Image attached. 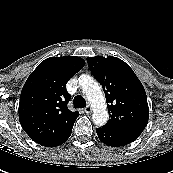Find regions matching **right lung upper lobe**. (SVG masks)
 <instances>
[{
  "label": "right lung upper lobe",
  "mask_w": 173,
  "mask_h": 173,
  "mask_svg": "<svg viewBox=\"0 0 173 173\" xmlns=\"http://www.w3.org/2000/svg\"><path fill=\"white\" fill-rule=\"evenodd\" d=\"M85 61L76 56L50 57L42 61L25 82L20 96L19 120L24 131L38 144L60 136L79 113L68 109V80Z\"/></svg>",
  "instance_id": "right-lung-upper-lobe-1"
}]
</instances>
